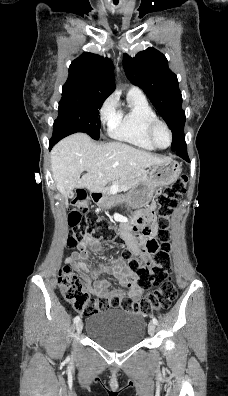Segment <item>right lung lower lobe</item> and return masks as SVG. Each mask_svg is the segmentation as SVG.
I'll list each match as a JSON object with an SVG mask.
<instances>
[{"label": "right lung lower lobe", "instance_id": "obj_1", "mask_svg": "<svg viewBox=\"0 0 228 396\" xmlns=\"http://www.w3.org/2000/svg\"><path fill=\"white\" fill-rule=\"evenodd\" d=\"M60 139H62V138L59 136H56L53 133V136H52L51 140L49 141V148L51 149L53 147V145L56 144Z\"/></svg>", "mask_w": 228, "mask_h": 396}]
</instances>
